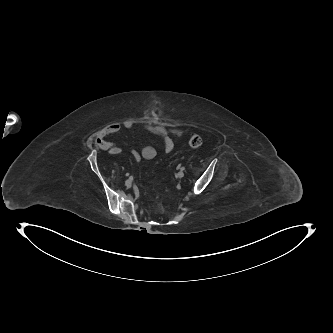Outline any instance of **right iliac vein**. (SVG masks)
<instances>
[{"instance_id": "right-iliac-vein-1", "label": "right iliac vein", "mask_w": 333, "mask_h": 333, "mask_svg": "<svg viewBox=\"0 0 333 333\" xmlns=\"http://www.w3.org/2000/svg\"><path fill=\"white\" fill-rule=\"evenodd\" d=\"M126 186L129 187V188L132 186L131 179L126 180Z\"/></svg>"}]
</instances>
